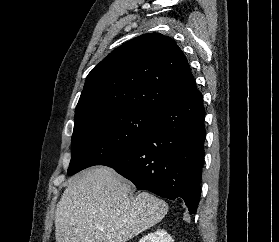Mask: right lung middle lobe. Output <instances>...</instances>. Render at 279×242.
I'll return each instance as SVG.
<instances>
[{
    "instance_id": "right-lung-middle-lobe-1",
    "label": "right lung middle lobe",
    "mask_w": 279,
    "mask_h": 242,
    "mask_svg": "<svg viewBox=\"0 0 279 242\" xmlns=\"http://www.w3.org/2000/svg\"><path fill=\"white\" fill-rule=\"evenodd\" d=\"M157 114L140 109H118L75 118L72 159L67 174L100 165L134 146L155 127Z\"/></svg>"
}]
</instances>
